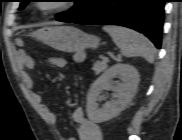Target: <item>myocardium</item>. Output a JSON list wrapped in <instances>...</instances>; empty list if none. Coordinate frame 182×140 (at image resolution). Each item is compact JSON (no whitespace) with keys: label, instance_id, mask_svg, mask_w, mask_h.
Masks as SVG:
<instances>
[{"label":"myocardium","instance_id":"f54148a6","mask_svg":"<svg viewBox=\"0 0 182 140\" xmlns=\"http://www.w3.org/2000/svg\"><path fill=\"white\" fill-rule=\"evenodd\" d=\"M47 1H52V0H47ZM59 1L61 2H57L55 4L56 5L55 7H48L49 5L53 4L52 3L44 4V2L36 4L35 7L39 12H41L44 15H50L66 11L72 7V4L70 2H67L69 0H59Z\"/></svg>","mask_w":182,"mask_h":140}]
</instances>
